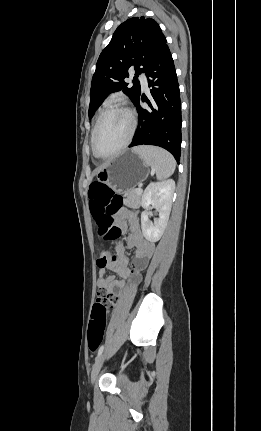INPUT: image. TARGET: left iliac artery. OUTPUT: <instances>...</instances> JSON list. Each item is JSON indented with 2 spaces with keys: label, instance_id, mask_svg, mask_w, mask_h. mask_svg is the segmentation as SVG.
<instances>
[{
  "label": "left iliac artery",
  "instance_id": "left-iliac-artery-1",
  "mask_svg": "<svg viewBox=\"0 0 261 431\" xmlns=\"http://www.w3.org/2000/svg\"><path fill=\"white\" fill-rule=\"evenodd\" d=\"M103 349H104V346L102 345V346L99 348V350H98V353H97V357H96V359H98V357L102 354Z\"/></svg>",
  "mask_w": 261,
  "mask_h": 431
}]
</instances>
